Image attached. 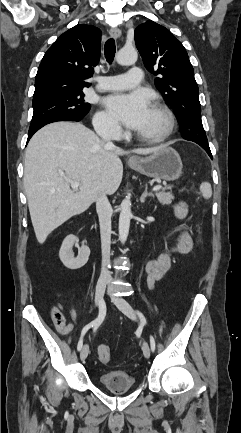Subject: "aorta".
I'll use <instances>...</instances> for the list:
<instances>
[{
    "label": "aorta",
    "mask_w": 241,
    "mask_h": 433,
    "mask_svg": "<svg viewBox=\"0 0 241 433\" xmlns=\"http://www.w3.org/2000/svg\"><path fill=\"white\" fill-rule=\"evenodd\" d=\"M137 58V51L133 48H123L116 55L117 63L120 65H132L137 61ZM131 217V201L130 198H125L120 206L119 217V240L122 244L127 240Z\"/></svg>",
    "instance_id": "762f6f07"
}]
</instances>
